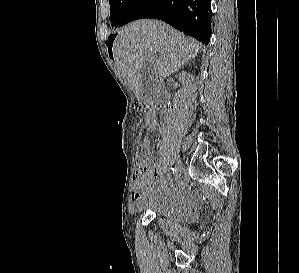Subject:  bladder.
<instances>
[{"mask_svg":"<svg viewBox=\"0 0 299 273\" xmlns=\"http://www.w3.org/2000/svg\"><path fill=\"white\" fill-rule=\"evenodd\" d=\"M156 220L164 226H174L183 220L182 214L168 209L157 210L155 213Z\"/></svg>","mask_w":299,"mask_h":273,"instance_id":"obj_1","label":"bladder"}]
</instances>
